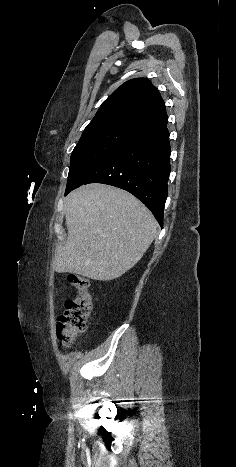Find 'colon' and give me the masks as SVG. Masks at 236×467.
Returning <instances> with one entry per match:
<instances>
[{
    "label": "colon",
    "instance_id": "colon-1",
    "mask_svg": "<svg viewBox=\"0 0 236 467\" xmlns=\"http://www.w3.org/2000/svg\"><path fill=\"white\" fill-rule=\"evenodd\" d=\"M69 285L76 291L74 298L67 299L65 310L57 322V336L64 347H69L76 337L86 331L93 309L89 280L80 274H71Z\"/></svg>",
    "mask_w": 236,
    "mask_h": 467
}]
</instances>
